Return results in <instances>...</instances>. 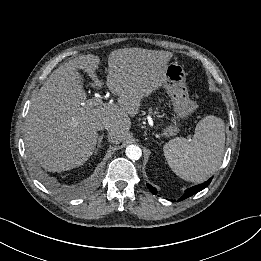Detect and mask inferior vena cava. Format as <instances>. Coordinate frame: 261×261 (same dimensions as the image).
Segmentation results:
<instances>
[{
    "instance_id": "inferior-vena-cava-1",
    "label": "inferior vena cava",
    "mask_w": 261,
    "mask_h": 261,
    "mask_svg": "<svg viewBox=\"0 0 261 261\" xmlns=\"http://www.w3.org/2000/svg\"><path fill=\"white\" fill-rule=\"evenodd\" d=\"M102 129H107L108 130L107 126H102V127L99 128V130H102Z\"/></svg>"
}]
</instances>
